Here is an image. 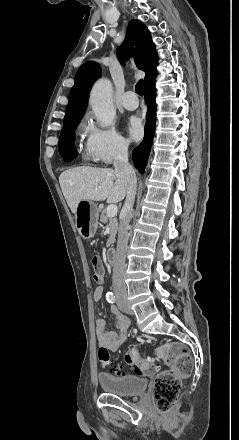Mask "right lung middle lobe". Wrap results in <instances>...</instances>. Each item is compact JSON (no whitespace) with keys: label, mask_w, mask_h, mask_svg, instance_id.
<instances>
[{"label":"right lung middle lobe","mask_w":239,"mask_h":440,"mask_svg":"<svg viewBox=\"0 0 239 440\" xmlns=\"http://www.w3.org/2000/svg\"><path fill=\"white\" fill-rule=\"evenodd\" d=\"M82 117L76 118L68 123L63 124V129L61 131L60 139H59V152H60V154L68 149L75 147V145H74V142H75L74 130L76 129L79 122L81 121Z\"/></svg>","instance_id":"right-lung-middle-lobe-1"}]
</instances>
